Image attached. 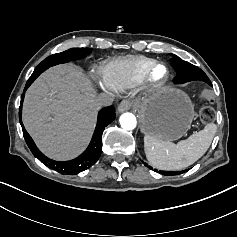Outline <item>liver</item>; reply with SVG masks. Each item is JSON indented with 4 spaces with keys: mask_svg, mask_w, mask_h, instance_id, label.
<instances>
[{
    "mask_svg": "<svg viewBox=\"0 0 237 237\" xmlns=\"http://www.w3.org/2000/svg\"><path fill=\"white\" fill-rule=\"evenodd\" d=\"M96 92L73 65L54 67L28 89L23 123L41 150L55 159L79 154L92 133Z\"/></svg>",
    "mask_w": 237,
    "mask_h": 237,
    "instance_id": "liver-1",
    "label": "liver"
}]
</instances>
